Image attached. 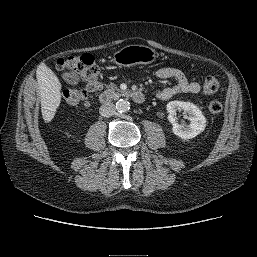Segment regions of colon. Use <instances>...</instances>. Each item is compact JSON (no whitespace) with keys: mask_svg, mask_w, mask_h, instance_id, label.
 Returning a JSON list of instances; mask_svg holds the SVG:
<instances>
[{"mask_svg":"<svg viewBox=\"0 0 257 257\" xmlns=\"http://www.w3.org/2000/svg\"><path fill=\"white\" fill-rule=\"evenodd\" d=\"M56 68L64 73H77L87 82L85 89H67L63 92L64 100L70 105H88L91 96L99 90V69L91 54L69 56L56 61ZM219 82L215 77H207L203 84L205 94L212 95L218 91ZM209 111L219 114L223 104L218 99H212L209 103Z\"/></svg>","mask_w":257,"mask_h":257,"instance_id":"obj_1","label":"colon"}]
</instances>
